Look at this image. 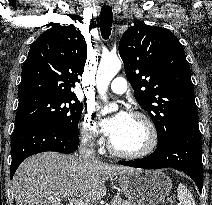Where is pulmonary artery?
Returning a JSON list of instances; mask_svg holds the SVG:
<instances>
[{
    "label": "pulmonary artery",
    "mask_w": 212,
    "mask_h": 205,
    "mask_svg": "<svg viewBox=\"0 0 212 205\" xmlns=\"http://www.w3.org/2000/svg\"><path fill=\"white\" fill-rule=\"evenodd\" d=\"M110 90L116 94H123L127 90V82L123 77L115 78L110 84Z\"/></svg>",
    "instance_id": "e3ab8cb5"
}]
</instances>
